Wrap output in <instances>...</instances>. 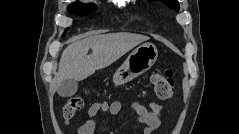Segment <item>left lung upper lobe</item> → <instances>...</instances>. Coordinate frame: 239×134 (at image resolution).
Returning a JSON list of instances; mask_svg holds the SVG:
<instances>
[{
    "label": "left lung upper lobe",
    "instance_id": "left-lung-upper-lobe-1",
    "mask_svg": "<svg viewBox=\"0 0 239 134\" xmlns=\"http://www.w3.org/2000/svg\"><path fill=\"white\" fill-rule=\"evenodd\" d=\"M147 1H154V0H147ZM164 4H166L169 8L178 11L180 6L177 0H161Z\"/></svg>",
    "mask_w": 239,
    "mask_h": 134
}]
</instances>
